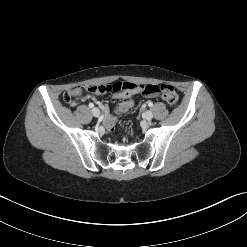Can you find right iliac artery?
<instances>
[{
  "instance_id": "right-iliac-artery-1",
  "label": "right iliac artery",
  "mask_w": 247,
  "mask_h": 247,
  "mask_svg": "<svg viewBox=\"0 0 247 247\" xmlns=\"http://www.w3.org/2000/svg\"><path fill=\"white\" fill-rule=\"evenodd\" d=\"M89 107L90 108H93L94 107V104L93 103H89Z\"/></svg>"
}]
</instances>
